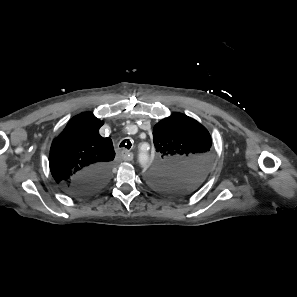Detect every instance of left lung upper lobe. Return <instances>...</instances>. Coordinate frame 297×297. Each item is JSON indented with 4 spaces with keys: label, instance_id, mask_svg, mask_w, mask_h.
I'll list each match as a JSON object with an SVG mask.
<instances>
[{
    "label": "left lung upper lobe",
    "instance_id": "1",
    "mask_svg": "<svg viewBox=\"0 0 297 297\" xmlns=\"http://www.w3.org/2000/svg\"><path fill=\"white\" fill-rule=\"evenodd\" d=\"M157 165L149 183L169 196L186 195L206 179L212 164L211 136L196 120L175 113L153 128Z\"/></svg>",
    "mask_w": 297,
    "mask_h": 297
}]
</instances>
